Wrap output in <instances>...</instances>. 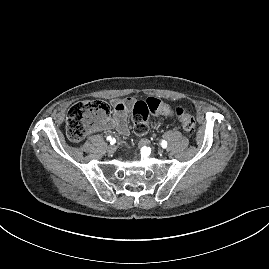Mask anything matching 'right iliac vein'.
I'll return each mask as SVG.
<instances>
[{
    "mask_svg": "<svg viewBox=\"0 0 269 269\" xmlns=\"http://www.w3.org/2000/svg\"><path fill=\"white\" fill-rule=\"evenodd\" d=\"M106 149H107V152L110 154H113L116 151V147L113 145H108Z\"/></svg>",
    "mask_w": 269,
    "mask_h": 269,
    "instance_id": "obj_1",
    "label": "right iliac vein"
}]
</instances>
